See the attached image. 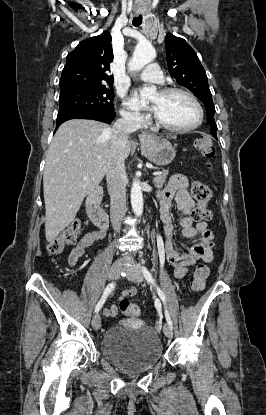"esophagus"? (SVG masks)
<instances>
[{
    "instance_id": "1",
    "label": "esophagus",
    "mask_w": 266,
    "mask_h": 415,
    "mask_svg": "<svg viewBox=\"0 0 266 415\" xmlns=\"http://www.w3.org/2000/svg\"><path fill=\"white\" fill-rule=\"evenodd\" d=\"M148 137V134L147 133H143L141 136H140V138H142V139H146Z\"/></svg>"
}]
</instances>
